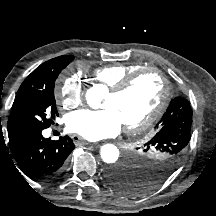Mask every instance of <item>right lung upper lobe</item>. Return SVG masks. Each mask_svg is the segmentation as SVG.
Masks as SVG:
<instances>
[{
    "label": "right lung upper lobe",
    "mask_w": 216,
    "mask_h": 216,
    "mask_svg": "<svg viewBox=\"0 0 216 216\" xmlns=\"http://www.w3.org/2000/svg\"><path fill=\"white\" fill-rule=\"evenodd\" d=\"M69 57H73V56H69V55H63V56H59L56 57L54 59H51L49 61H46L45 63L41 64L39 67H37L26 79L25 81L22 83V85L20 86L16 97H15V101L16 102L22 95V93L24 92V90L30 86L32 83L36 82L37 80L43 79L44 77H46L49 72L51 71L54 63H56L57 61L61 60V59H65V58H69ZM74 59V57H73Z\"/></svg>",
    "instance_id": "right-lung-upper-lobe-1"
}]
</instances>
